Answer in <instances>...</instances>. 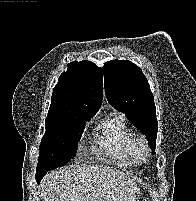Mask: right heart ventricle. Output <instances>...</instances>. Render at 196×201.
Returning a JSON list of instances; mask_svg holds the SVG:
<instances>
[{"mask_svg": "<svg viewBox=\"0 0 196 201\" xmlns=\"http://www.w3.org/2000/svg\"><path fill=\"white\" fill-rule=\"evenodd\" d=\"M98 153L112 159L119 166L132 163L133 133L122 115H114L101 122L95 129Z\"/></svg>", "mask_w": 196, "mask_h": 201, "instance_id": "obj_1", "label": "right heart ventricle"}]
</instances>
